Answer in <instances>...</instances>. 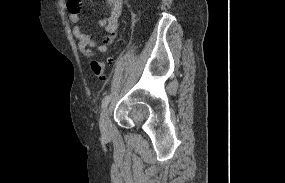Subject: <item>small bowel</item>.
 <instances>
[{"label": "small bowel", "mask_w": 285, "mask_h": 183, "mask_svg": "<svg viewBox=\"0 0 285 183\" xmlns=\"http://www.w3.org/2000/svg\"><path fill=\"white\" fill-rule=\"evenodd\" d=\"M107 1L110 6V12L107 17L99 22L100 26H102L106 31V35L103 37L101 44H98L90 34L85 33L82 26L79 24L80 16L78 11L81 0H75L72 2V5L76 7V11H71L69 9V4L67 3L69 19L75 24L72 30L73 36L78 41V49L86 57H93L96 53H106L108 46L112 45L116 39L122 15V0Z\"/></svg>", "instance_id": "small-bowel-1"}]
</instances>
